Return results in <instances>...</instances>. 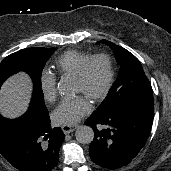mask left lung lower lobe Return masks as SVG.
I'll use <instances>...</instances> for the list:
<instances>
[{
  "label": "left lung lower lobe",
  "mask_w": 171,
  "mask_h": 171,
  "mask_svg": "<svg viewBox=\"0 0 171 171\" xmlns=\"http://www.w3.org/2000/svg\"><path fill=\"white\" fill-rule=\"evenodd\" d=\"M154 110L127 109L111 115H91L85 122L94 129L89 147L91 159L97 165L116 169L131 162L150 135ZM101 124L104 129L98 130Z\"/></svg>",
  "instance_id": "obj_1"
}]
</instances>
